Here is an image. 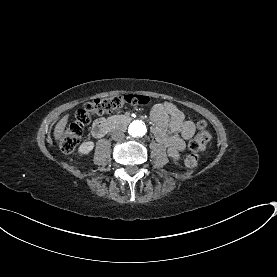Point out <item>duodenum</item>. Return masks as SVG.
<instances>
[{"label":"duodenum","mask_w":277,"mask_h":277,"mask_svg":"<svg viewBox=\"0 0 277 277\" xmlns=\"http://www.w3.org/2000/svg\"><path fill=\"white\" fill-rule=\"evenodd\" d=\"M131 121L130 117H120L117 119H100L96 121L92 127V133L95 137H103L110 130L119 128L128 124Z\"/></svg>","instance_id":"obj_1"}]
</instances>
